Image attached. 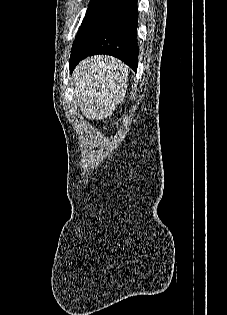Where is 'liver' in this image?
<instances>
[{
	"mask_svg": "<svg viewBox=\"0 0 227 315\" xmlns=\"http://www.w3.org/2000/svg\"><path fill=\"white\" fill-rule=\"evenodd\" d=\"M93 59H102V57H95V58H93Z\"/></svg>",
	"mask_w": 227,
	"mask_h": 315,
	"instance_id": "obj_1",
	"label": "liver"
}]
</instances>
